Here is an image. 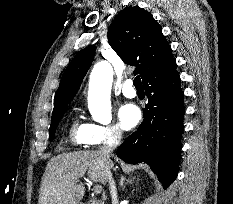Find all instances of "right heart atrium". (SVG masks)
I'll list each match as a JSON object with an SVG mask.
<instances>
[{"mask_svg":"<svg viewBox=\"0 0 233 204\" xmlns=\"http://www.w3.org/2000/svg\"><path fill=\"white\" fill-rule=\"evenodd\" d=\"M122 138V131L117 125L88 124L85 144L98 146L101 144L115 143Z\"/></svg>","mask_w":233,"mask_h":204,"instance_id":"d8ad5b80","label":"right heart atrium"}]
</instances>
